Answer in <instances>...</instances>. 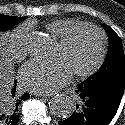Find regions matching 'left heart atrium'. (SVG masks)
I'll use <instances>...</instances> for the list:
<instances>
[{"label": "left heart atrium", "mask_w": 125, "mask_h": 125, "mask_svg": "<svg viewBox=\"0 0 125 125\" xmlns=\"http://www.w3.org/2000/svg\"><path fill=\"white\" fill-rule=\"evenodd\" d=\"M73 72L61 57L52 60H31L20 69L19 81L34 93H51L67 84Z\"/></svg>", "instance_id": "left-heart-atrium-1"}]
</instances>
